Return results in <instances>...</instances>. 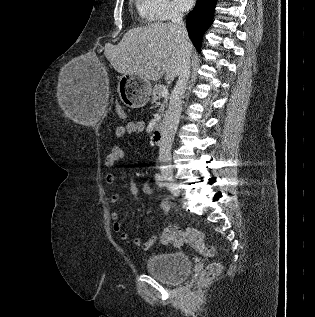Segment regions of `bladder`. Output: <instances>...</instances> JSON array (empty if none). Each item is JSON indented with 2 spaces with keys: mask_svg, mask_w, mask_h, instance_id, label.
<instances>
[{
  "mask_svg": "<svg viewBox=\"0 0 315 317\" xmlns=\"http://www.w3.org/2000/svg\"><path fill=\"white\" fill-rule=\"evenodd\" d=\"M147 272L168 283L183 281L191 271V262L183 253H162L146 260Z\"/></svg>",
  "mask_w": 315,
  "mask_h": 317,
  "instance_id": "obj_1",
  "label": "bladder"
}]
</instances>
